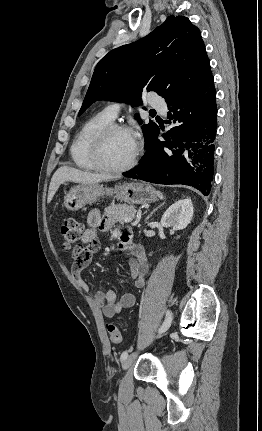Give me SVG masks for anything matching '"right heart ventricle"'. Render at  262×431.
<instances>
[{"mask_svg": "<svg viewBox=\"0 0 262 431\" xmlns=\"http://www.w3.org/2000/svg\"><path fill=\"white\" fill-rule=\"evenodd\" d=\"M111 119L105 111L90 117L76 133L70 147L73 164L85 171H98L91 157L92 143L95 135L105 126L111 124Z\"/></svg>", "mask_w": 262, "mask_h": 431, "instance_id": "1", "label": "right heart ventricle"}]
</instances>
